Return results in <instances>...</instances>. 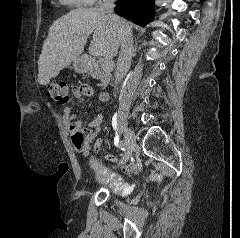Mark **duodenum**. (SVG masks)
I'll return each mask as SVG.
<instances>
[{
	"mask_svg": "<svg viewBox=\"0 0 240 238\" xmlns=\"http://www.w3.org/2000/svg\"><path fill=\"white\" fill-rule=\"evenodd\" d=\"M85 63L87 72L93 77H98L104 87L110 84L112 78L110 73L102 72L92 59H87Z\"/></svg>",
	"mask_w": 240,
	"mask_h": 238,
	"instance_id": "duodenum-1",
	"label": "duodenum"
}]
</instances>
